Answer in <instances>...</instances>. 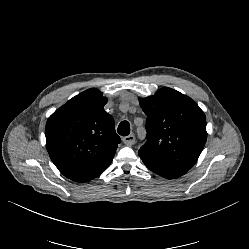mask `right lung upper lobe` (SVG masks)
<instances>
[{"label":"right lung upper lobe","mask_w":249,"mask_h":249,"mask_svg":"<svg viewBox=\"0 0 249 249\" xmlns=\"http://www.w3.org/2000/svg\"><path fill=\"white\" fill-rule=\"evenodd\" d=\"M107 98L88 89L70 99L47 120L49 156L67 178L87 182L112 162L120 137L113 117L104 110Z\"/></svg>","instance_id":"cb5924a9"}]
</instances>
